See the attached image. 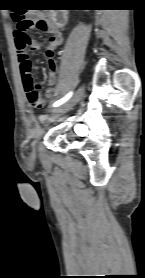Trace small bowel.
Listing matches in <instances>:
<instances>
[{
    "label": "small bowel",
    "mask_w": 145,
    "mask_h": 278,
    "mask_svg": "<svg viewBox=\"0 0 145 278\" xmlns=\"http://www.w3.org/2000/svg\"><path fill=\"white\" fill-rule=\"evenodd\" d=\"M47 31L49 33V38H48V43H47V50H46V54H47V58H48V68H49V74H48V81L50 84V87L47 89L46 91V97L50 98L52 96V94L54 93V84L56 83V72H57V63L54 59V51L63 43V37L62 34L59 32L58 27L49 24L47 27ZM26 35V33H25ZM15 42L17 43V39L15 37ZM30 43L33 47V49H40L41 45L37 42H35L34 40L30 39ZM19 73H20V79H21V83L25 84V77L27 75L31 74V62H30V58L28 57V54H25L24 56H19ZM29 64V68L28 70H23V66ZM24 91L25 94L27 96V91L25 89L24 86ZM39 126H35L33 129V132H37L39 130Z\"/></svg>",
    "instance_id": "1"
}]
</instances>
